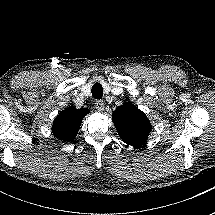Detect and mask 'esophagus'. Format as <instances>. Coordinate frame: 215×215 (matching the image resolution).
<instances>
[{"mask_svg":"<svg viewBox=\"0 0 215 215\" xmlns=\"http://www.w3.org/2000/svg\"><path fill=\"white\" fill-rule=\"evenodd\" d=\"M95 108L98 110V111H103L104 110V102L102 100H97L95 102Z\"/></svg>","mask_w":215,"mask_h":215,"instance_id":"34e87169","label":"esophagus"}]
</instances>
